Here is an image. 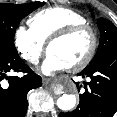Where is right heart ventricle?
<instances>
[{
	"mask_svg": "<svg viewBox=\"0 0 117 117\" xmlns=\"http://www.w3.org/2000/svg\"><path fill=\"white\" fill-rule=\"evenodd\" d=\"M84 23H87L84 15L74 9L63 6L42 9L33 14L28 20L30 29L44 43L48 42L60 30Z\"/></svg>",
	"mask_w": 117,
	"mask_h": 117,
	"instance_id": "obj_1",
	"label": "right heart ventricle"
}]
</instances>
